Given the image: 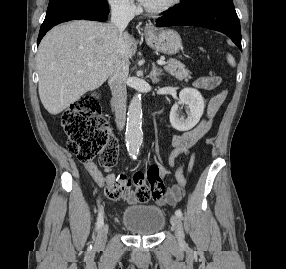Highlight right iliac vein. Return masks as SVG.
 <instances>
[{"mask_svg":"<svg viewBox=\"0 0 286 269\" xmlns=\"http://www.w3.org/2000/svg\"><path fill=\"white\" fill-rule=\"evenodd\" d=\"M108 225L104 224L98 231L97 239H96V248L102 249L105 247L107 241V234H108Z\"/></svg>","mask_w":286,"mask_h":269,"instance_id":"63e3f726","label":"right iliac vein"}]
</instances>
